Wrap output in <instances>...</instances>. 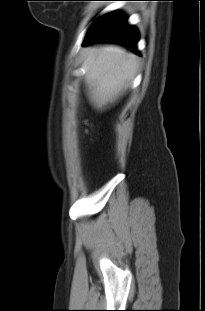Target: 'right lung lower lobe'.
I'll use <instances>...</instances> for the list:
<instances>
[{"mask_svg":"<svg viewBox=\"0 0 205 311\" xmlns=\"http://www.w3.org/2000/svg\"><path fill=\"white\" fill-rule=\"evenodd\" d=\"M138 33L135 28L126 24V17L117 12L103 16L89 29L83 42L87 46L96 42H114L126 46L140 55L136 50Z\"/></svg>","mask_w":205,"mask_h":311,"instance_id":"obj_1","label":"right lung lower lobe"}]
</instances>
